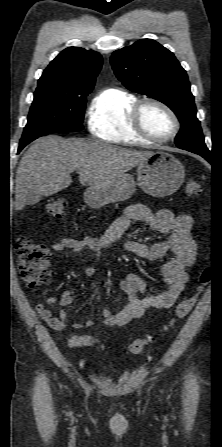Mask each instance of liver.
<instances>
[{
  "instance_id": "liver-1",
  "label": "liver",
  "mask_w": 222,
  "mask_h": 447,
  "mask_svg": "<svg viewBox=\"0 0 222 447\" xmlns=\"http://www.w3.org/2000/svg\"><path fill=\"white\" fill-rule=\"evenodd\" d=\"M153 154L120 148L81 138L49 135L35 141L19 162L15 207L22 210L36 195L51 196L72 183L78 170L84 186L101 185L115 179Z\"/></svg>"
}]
</instances>
